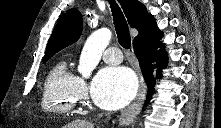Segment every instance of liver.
Wrapping results in <instances>:
<instances>
[{"mask_svg": "<svg viewBox=\"0 0 221 128\" xmlns=\"http://www.w3.org/2000/svg\"><path fill=\"white\" fill-rule=\"evenodd\" d=\"M64 128H94V125L84 120H75L65 125Z\"/></svg>", "mask_w": 221, "mask_h": 128, "instance_id": "1", "label": "liver"}]
</instances>
